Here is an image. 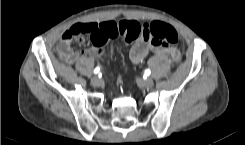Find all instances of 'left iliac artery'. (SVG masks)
<instances>
[{"label":"left iliac artery","mask_w":245,"mask_h":145,"mask_svg":"<svg viewBox=\"0 0 245 145\" xmlns=\"http://www.w3.org/2000/svg\"><path fill=\"white\" fill-rule=\"evenodd\" d=\"M145 74H146V75H150V74H151V71H150L149 69H146V70H145Z\"/></svg>","instance_id":"1"}]
</instances>
